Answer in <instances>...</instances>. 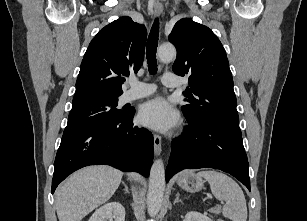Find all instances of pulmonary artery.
<instances>
[{
	"instance_id": "e3ab8cb5",
	"label": "pulmonary artery",
	"mask_w": 307,
	"mask_h": 221,
	"mask_svg": "<svg viewBox=\"0 0 307 221\" xmlns=\"http://www.w3.org/2000/svg\"><path fill=\"white\" fill-rule=\"evenodd\" d=\"M130 89L124 92L123 102H130L151 95L156 87L153 84L139 82L135 79L128 80ZM162 84L166 87H178L179 81L173 73H165L162 77Z\"/></svg>"
}]
</instances>
